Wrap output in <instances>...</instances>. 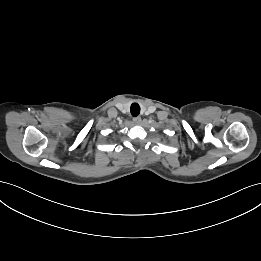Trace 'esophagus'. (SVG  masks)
<instances>
[{"label": "esophagus", "mask_w": 261, "mask_h": 261, "mask_svg": "<svg viewBox=\"0 0 261 261\" xmlns=\"http://www.w3.org/2000/svg\"><path fill=\"white\" fill-rule=\"evenodd\" d=\"M133 122H134L136 125H140L141 122H142V119H141V117H135V118L133 119Z\"/></svg>", "instance_id": "obj_1"}]
</instances>
